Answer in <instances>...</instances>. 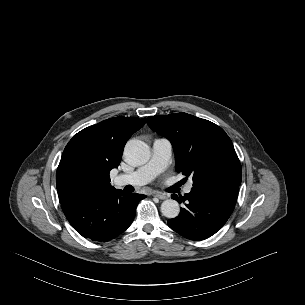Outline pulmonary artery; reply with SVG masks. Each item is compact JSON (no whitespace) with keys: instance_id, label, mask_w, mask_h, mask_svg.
I'll return each instance as SVG.
<instances>
[{"instance_id":"e3ab8cb5","label":"pulmonary artery","mask_w":305,"mask_h":305,"mask_svg":"<svg viewBox=\"0 0 305 305\" xmlns=\"http://www.w3.org/2000/svg\"><path fill=\"white\" fill-rule=\"evenodd\" d=\"M172 160V144L163 137L156 138L152 144V156L148 163L129 174H120L114 179L116 186L126 184L141 186L149 183L158 174L165 170ZM192 182L184 188V193L188 194L192 190Z\"/></svg>"}]
</instances>
